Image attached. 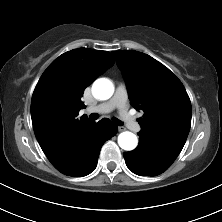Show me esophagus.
<instances>
[{
	"label": "esophagus",
	"mask_w": 222,
	"mask_h": 222,
	"mask_svg": "<svg viewBox=\"0 0 222 222\" xmlns=\"http://www.w3.org/2000/svg\"><path fill=\"white\" fill-rule=\"evenodd\" d=\"M124 130H125V127H123V126H119V127H118V131H119V132H122V131H124Z\"/></svg>",
	"instance_id": "34e87169"
}]
</instances>
